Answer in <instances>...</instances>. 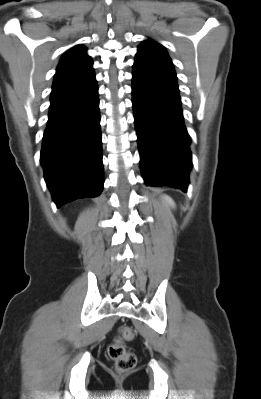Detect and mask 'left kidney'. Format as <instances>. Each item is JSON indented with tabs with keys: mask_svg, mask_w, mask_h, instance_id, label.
<instances>
[{
	"mask_svg": "<svg viewBox=\"0 0 261 399\" xmlns=\"http://www.w3.org/2000/svg\"><path fill=\"white\" fill-rule=\"evenodd\" d=\"M163 199L165 200V202L168 204V205H170V206H172V207H174L175 206V204H174V201L169 197V196H163Z\"/></svg>",
	"mask_w": 261,
	"mask_h": 399,
	"instance_id": "left-kidney-1",
	"label": "left kidney"
}]
</instances>
